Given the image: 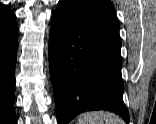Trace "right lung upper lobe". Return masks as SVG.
I'll return each instance as SVG.
<instances>
[{"mask_svg": "<svg viewBox=\"0 0 156 124\" xmlns=\"http://www.w3.org/2000/svg\"><path fill=\"white\" fill-rule=\"evenodd\" d=\"M16 26L15 15L6 5L0 4V28H10Z\"/></svg>", "mask_w": 156, "mask_h": 124, "instance_id": "right-lung-upper-lobe-1", "label": "right lung upper lobe"}]
</instances>
